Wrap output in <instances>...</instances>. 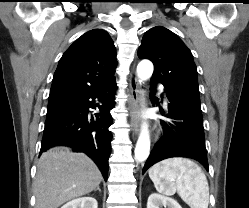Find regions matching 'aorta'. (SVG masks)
I'll list each match as a JSON object with an SVG mask.
<instances>
[{
  "label": "aorta",
  "mask_w": 249,
  "mask_h": 208,
  "mask_svg": "<svg viewBox=\"0 0 249 208\" xmlns=\"http://www.w3.org/2000/svg\"><path fill=\"white\" fill-rule=\"evenodd\" d=\"M153 64L149 60H142L137 66V75L140 81L149 79L153 73ZM135 159L138 162L145 161L150 153V136L148 126L143 123L140 136L135 147Z\"/></svg>",
  "instance_id": "762f6f07"
}]
</instances>
